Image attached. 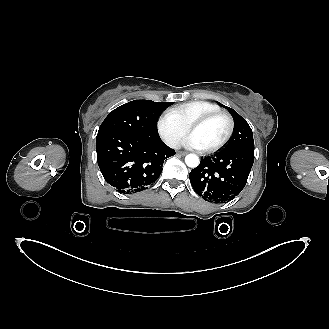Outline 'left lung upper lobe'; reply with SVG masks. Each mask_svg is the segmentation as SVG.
I'll return each mask as SVG.
<instances>
[{"label":"left lung upper lobe","instance_id":"left-lung-upper-lobe-1","mask_svg":"<svg viewBox=\"0 0 329 329\" xmlns=\"http://www.w3.org/2000/svg\"><path fill=\"white\" fill-rule=\"evenodd\" d=\"M224 107L228 109L234 119V130L229 143L222 151L234 149L254 150L253 133L247 121L232 108Z\"/></svg>","mask_w":329,"mask_h":329}]
</instances>
